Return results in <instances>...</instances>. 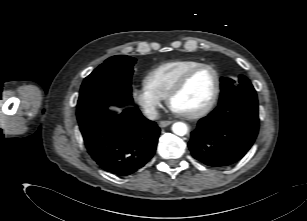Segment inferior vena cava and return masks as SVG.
<instances>
[{
	"mask_svg": "<svg viewBox=\"0 0 307 221\" xmlns=\"http://www.w3.org/2000/svg\"><path fill=\"white\" fill-rule=\"evenodd\" d=\"M145 115L150 120H155L158 118V112L154 107L145 110Z\"/></svg>",
	"mask_w": 307,
	"mask_h": 221,
	"instance_id": "inferior-vena-cava-1",
	"label": "inferior vena cava"
}]
</instances>
